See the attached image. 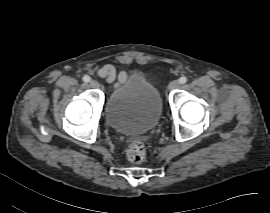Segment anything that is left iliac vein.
Returning <instances> with one entry per match:
<instances>
[{"mask_svg":"<svg viewBox=\"0 0 270 213\" xmlns=\"http://www.w3.org/2000/svg\"><path fill=\"white\" fill-rule=\"evenodd\" d=\"M180 86V82L178 80H173L168 85V91H171L173 89H177Z\"/></svg>","mask_w":270,"mask_h":213,"instance_id":"obj_1","label":"left iliac vein"}]
</instances>
